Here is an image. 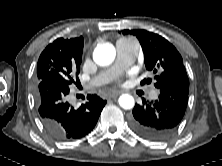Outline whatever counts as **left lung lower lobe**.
Returning <instances> with one entry per match:
<instances>
[{
    "label": "left lung lower lobe",
    "instance_id": "1",
    "mask_svg": "<svg viewBox=\"0 0 222 166\" xmlns=\"http://www.w3.org/2000/svg\"><path fill=\"white\" fill-rule=\"evenodd\" d=\"M160 95L154 102L136 104L130 119L133 131L151 141L170 138L182 120L187 103L189 87L166 84L159 88Z\"/></svg>",
    "mask_w": 222,
    "mask_h": 166
}]
</instances>
